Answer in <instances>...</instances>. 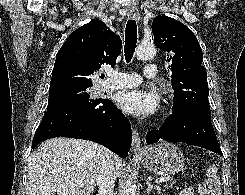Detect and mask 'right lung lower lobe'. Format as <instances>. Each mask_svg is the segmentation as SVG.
Wrapping results in <instances>:
<instances>
[{
    "instance_id": "right-lung-lower-lobe-1",
    "label": "right lung lower lobe",
    "mask_w": 245,
    "mask_h": 195,
    "mask_svg": "<svg viewBox=\"0 0 245 195\" xmlns=\"http://www.w3.org/2000/svg\"><path fill=\"white\" fill-rule=\"evenodd\" d=\"M69 137L99 143L125 158L131 147V126L123 113L108 99H96L60 106L44 114L33 141Z\"/></svg>"
}]
</instances>
